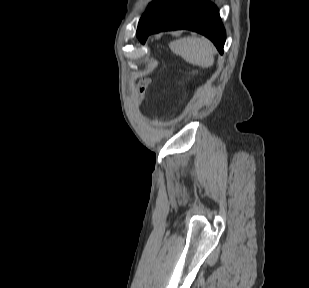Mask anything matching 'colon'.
Returning <instances> with one entry per match:
<instances>
[{"label": "colon", "mask_w": 309, "mask_h": 288, "mask_svg": "<svg viewBox=\"0 0 309 288\" xmlns=\"http://www.w3.org/2000/svg\"><path fill=\"white\" fill-rule=\"evenodd\" d=\"M149 84H150V79L148 78H145L139 81L137 89H136V100L137 101H140L143 98L145 92L147 91L149 87Z\"/></svg>", "instance_id": "5ec220e1"}]
</instances>
